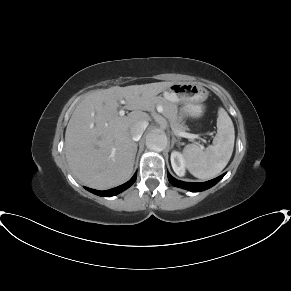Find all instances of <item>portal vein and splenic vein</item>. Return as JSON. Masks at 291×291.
<instances>
[{
  "label": "portal vein and splenic vein",
  "instance_id": "portal-vein-and-splenic-vein-1",
  "mask_svg": "<svg viewBox=\"0 0 291 291\" xmlns=\"http://www.w3.org/2000/svg\"><path fill=\"white\" fill-rule=\"evenodd\" d=\"M122 103L124 104L125 102L122 101ZM158 112L159 113H162L163 112V108L162 107H159L158 108ZM124 114H125V111L123 109H121L119 111V115L120 116H124ZM173 132H174V134L176 136H179V137H184V138H188V139H192V140L196 138V136L194 134H190V133H186V132H181V131H177V130H173ZM201 148L203 149L204 147L201 145Z\"/></svg>",
  "mask_w": 291,
  "mask_h": 291
}]
</instances>
